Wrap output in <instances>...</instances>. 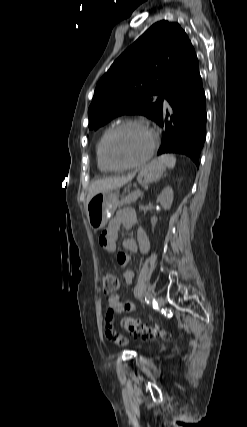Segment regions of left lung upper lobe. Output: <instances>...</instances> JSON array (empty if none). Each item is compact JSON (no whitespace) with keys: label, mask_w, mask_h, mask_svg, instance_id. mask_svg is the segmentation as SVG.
<instances>
[{"label":"left lung upper lobe","mask_w":247,"mask_h":427,"mask_svg":"<svg viewBox=\"0 0 247 427\" xmlns=\"http://www.w3.org/2000/svg\"><path fill=\"white\" fill-rule=\"evenodd\" d=\"M197 65L194 48L180 25L155 23L98 82L88 110L89 128L97 129L122 114H142L156 121L167 94Z\"/></svg>","instance_id":"obj_1"}]
</instances>
